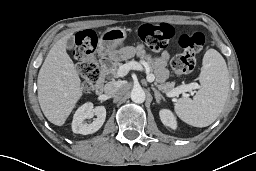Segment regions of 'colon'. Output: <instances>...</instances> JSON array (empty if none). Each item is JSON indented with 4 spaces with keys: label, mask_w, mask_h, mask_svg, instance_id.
<instances>
[{
    "label": "colon",
    "mask_w": 256,
    "mask_h": 171,
    "mask_svg": "<svg viewBox=\"0 0 256 171\" xmlns=\"http://www.w3.org/2000/svg\"><path fill=\"white\" fill-rule=\"evenodd\" d=\"M140 40L151 50L161 51L165 49L169 41L175 36V28L171 24L144 23L138 30ZM205 43L202 32L196 31L190 34H182L178 44L182 52L171 60V67L175 74L185 75L194 71L196 55ZM96 35L91 30L78 33L75 40L74 54L79 60L78 71L82 78V88L85 92H91L100 78V68L95 56Z\"/></svg>",
    "instance_id": "obj_1"
}]
</instances>
